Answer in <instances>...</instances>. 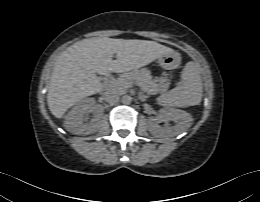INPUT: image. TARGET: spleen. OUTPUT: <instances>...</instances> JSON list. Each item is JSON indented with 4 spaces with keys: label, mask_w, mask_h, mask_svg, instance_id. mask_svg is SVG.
Listing matches in <instances>:
<instances>
[{
    "label": "spleen",
    "mask_w": 260,
    "mask_h": 202,
    "mask_svg": "<svg viewBox=\"0 0 260 202\" xmlns=\"http://www.w3.org/2000/svg\"><path fill=\"white\" fill-rule=\"evenodd\" d=\"M182 82L158 98L164 107H187L197 105L202 99V81L197 65L188 62L182 71Z\"/></svg>",
    "instance_id": "obj_1"
}]
</instances>
